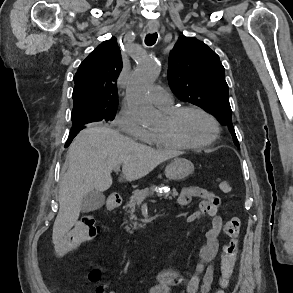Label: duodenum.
Listing matches in <instances>:
<instances>
[{"label": "duodenum", "mask_w": 293, "mask_h": 293, "mask_svg": "<svg viewBox=\"0 0 293 293\" xmlns=\"http://www.w3.org/2000/svg\"><path fill=\"white\" fill-rule=\"evenodd\" d=\"M121 201L122 198L120 195H111L107 203L108 211H113L114 209H116L121 204Z\"/></svg>", "instance_id": "duodenum-1"}]
</instances>
